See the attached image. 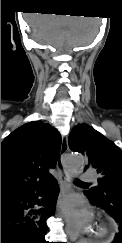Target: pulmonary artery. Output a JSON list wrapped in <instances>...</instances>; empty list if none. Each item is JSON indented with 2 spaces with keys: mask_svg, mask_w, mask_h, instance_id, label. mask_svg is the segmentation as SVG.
I'll list each match as a JSON object with an SVG mask.
<instances>
[{
  "mask_svg": "<svg viewBox=\"0 0 122 243\" xmlns=\"http://www.w3.org/2000/svg\"><path fill=\"white\" fill-rule=\"evenodd\" d=\"M81 178L84 181H95L96 180V176L94 174H92L91 172L82 173Z\"/></svg>",
  "mask_w": 122,
  "mask_h": 243,
  "instance_id": "obj_1",
  "label": "pulmonary artery"
}]
</instances>
